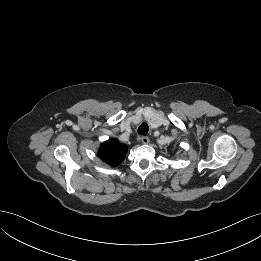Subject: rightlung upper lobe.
Here are the masks:
<instances>
[{"mask_svg":"<svg viewBox=\"0 0 261 261\" xmlns=\"http://www.w3.org/2000/svg\"><path fill=\"white\" fill-rule=\"evenodd\" d=\"M127 147L121 145L114 139H110L101 144L98 156L111 166L119 165L125 158Z\"/></svg>","mask_w":261,"mask_h":261,"instance_id":"obj_1","label":"right lung upper lobe"}]
</instances>
